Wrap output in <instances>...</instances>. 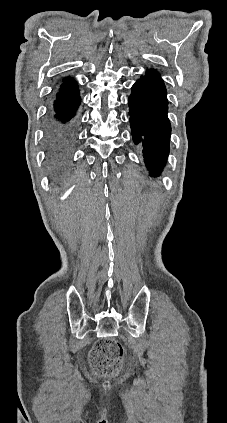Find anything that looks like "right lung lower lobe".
Here are the masks:
<instances>
[{"label": "right lung lower lobe", "mask_w": 227, "mask_h": 423, "mask_svg": "<svg viewBox=\"0 0 227 423\" xmlns=\"http://www.w3.org/2000/svg\"><path fill=\"white\" fill-rule=\"evenodd\" d=\"M78 91L63 89L62 86L54 101V119L47 128L45 165L56 180L67 173L76 136L70 120L75 116Z\"/></svg>", "instance_id": "1"}]
</instances>
